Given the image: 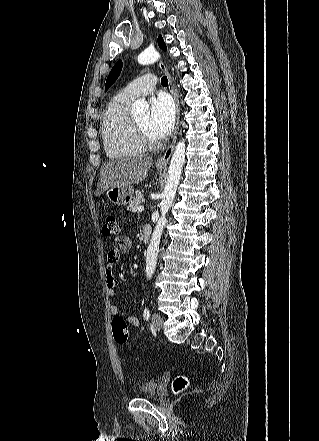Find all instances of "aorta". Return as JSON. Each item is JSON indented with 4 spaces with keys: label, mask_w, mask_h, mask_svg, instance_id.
<instances>
[{
    "label": "aorta",
    "mask_w": 319,
    "mask_h": 441,
    "mask_svg": "<svg viewBox=\"0 0 319 441\" xmlns=\"http://www.w3.org/2000/svg\"><path fill=\"white\" fill-rule=\"evenodd\" d=\"M160 58V54L152 49H146L138 56V63L142 65L152 64ZM149 109L148 103L139 99L134 102L132 107V115L137 117L139 115L147 114ZM185 161V142L179 141L174 153L172 155L166 185L162 194V201L160 203L161 215L156 223L152 234L146 257V276L151 279L157 263V256L159 252V245L164 227L167 224V213L175 198L177 187L181 178V172Z\"/></svg>",
    "instance_id": "obj_1"
}]
</instances>
